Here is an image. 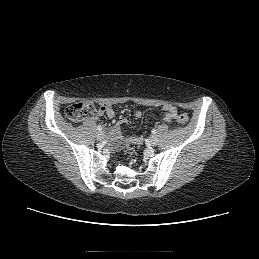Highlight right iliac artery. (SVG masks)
<instances>
[{
  "instance_id": "obj_1",
  "label": "right iliac artery",
  "mask_w": 259,
  "mask_h": 259,
  "mask_svg": "<svg viewBox=\"0 0 259 259\" xmlns=\"http://www.w3.org/2000/svg\"><path fill=\"white\" fill-rule=\"evenodd\" d=\"M97 129H98L99 131H101V130H102V127H101L100 125H98V126H97Z\"/></svg>"
}]
</instances>
